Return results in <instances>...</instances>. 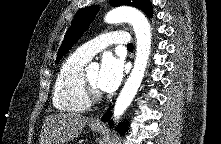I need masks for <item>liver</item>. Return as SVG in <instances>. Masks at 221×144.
Returning <instances> with one entry per match:
<instances>
[{"label": "liver", "instance_id": "obj_1", "mask_svg": "<svg viewBox=\"0 0 221 144\" xmlns=\"http://www.w3.org/2000/svg\"><path fill=\"white\" fill-rule=\"evenodd\" d=\"M79 113H58L46 117L39 144H65L78 137L88 122Z\"/></svg>", "mask_w": 221, "mask_h": 144}]
</instances>
